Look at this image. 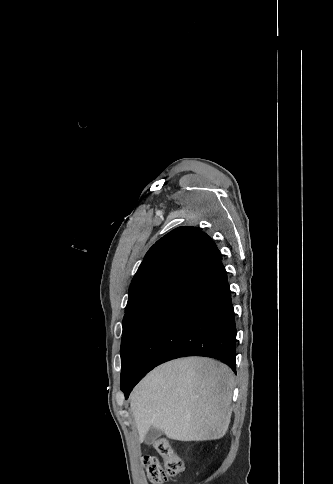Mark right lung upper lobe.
<instances>
[{
	"mask_svg": "<svg viewBox=\"0 0 333 484\" xmlns=\"http://www.w3.org/2000/svg\"><path fill=\"white\" fill-rule=\"evenodd\" d=\"M221 258L216 244L200 228L172 230L146 253L132 279L125 312L157 295L181 288Z\"/></svg>",
	"mask_w": 333,
	"mask_h": 484,
	"instance_id": "1",
	"label": "right lung upper lobe"
}]
</instances>
